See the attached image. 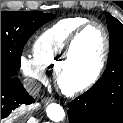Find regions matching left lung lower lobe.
<instances>
[{
    "label": "left lung lower lobe",
    "mask_w": 123,
    "mask_h": 123,
    "mask_svg": "<svg viewBox=\"0 0 123 123\" xmlns=\"http://www.w3.org/2000/svg\"><path fill=\"white\" fill-rule=\"evenodd\" d=\"M69 123H123V77L96 82L68 105Z\"/></svg>",
    "instance_id": "obj_1"
}]
</instances>
